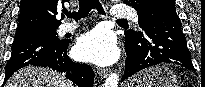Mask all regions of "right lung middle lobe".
<instances>
[{
	"mask_svg": "<svg viewBox=\"0 0 205 87\" xmlns=\"http://www.w3.org/2000/svg\"><path fill=\"white\" fill-rule=\"evenodd\" d=\"M56 29H49V30H42V31H34V32H28V33L16 34L15 38L16 37H22V36H28V35H43V36H48V37H52V38H58Z\"/></svg>",
	"mask_w": 205,
	"mask_h": 87,
	"instance_id": "obj_1",
	"label": "right lung middle lobe"
}]
</instances>
